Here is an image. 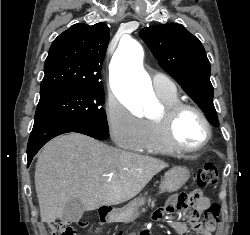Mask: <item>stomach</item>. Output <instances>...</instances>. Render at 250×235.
Returning <instances> with one entry per match:
<instances>
[{
	"mask_svg": "<svg viewBox=\"0 0 250 235\" xmlns=\"http://www.w3.org/2000/svg\"><path fill=\"white\" fill-rule=\"evenodd\" d=\"M190 172L186 167L176 166L170 169L164 176L160 184V192H176L189 179ZM144 202L143 198L131 201L124 208L118 210L114 215V220L118 222H130L137 217V210Z\"/></svg>",
	"mask_w": 250,
	"mask_h": 235,
	"instance_id": "1",
	"label": "stomach"
}]
</instances>
